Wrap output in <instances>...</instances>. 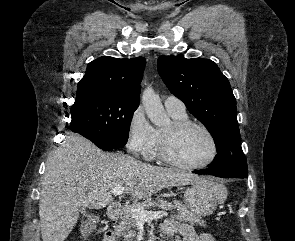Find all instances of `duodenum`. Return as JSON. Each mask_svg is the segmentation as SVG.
<instances>
[{"label": "duodenum", "instance_id": "410a0bca", "mask_svg": "<svg viewBox=\"0 0 295 241\" xmlns=\"http://www.w3.org/2000/svg\"><path fill=\"white\" fill-rule=\"evenodd\" d=\"M121 212H122V205L119 203H112L108 207V216L111 219H116L120 217Z\"/></svg>", "mask_w": 295, "mask_h": 241}]
</instances>
